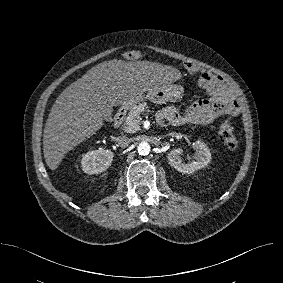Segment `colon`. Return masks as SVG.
<instances>
[{"mask_svg":"<svg viewBox=\"0 0 283 283\" xmlns=\"http://www.w3.org/2000/svg\"><path fill=\"white\" fill-rule=\"evenodd\" d=\"M218 136L220 141L230 150H235L239 145L238 139L233 133L229 117H226L220 124Z\"/></svg>","mask_w":283,"mask_h":283,"instance_id":"obj_1","label":"colon"}]
</instances>
